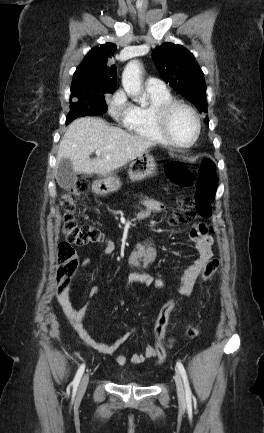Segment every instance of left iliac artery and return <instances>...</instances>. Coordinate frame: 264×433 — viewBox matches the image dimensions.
<instances>
[{
    "label": "left iliac artery",
    "mask_w": 264,
    "mask_h": 433,
    "mask_svg": "<svg viewBox=\"0 0 264 433\" xmlns=\"http://www.w3.org/2000/svg\"><path fill=\"white\" fill-rule=\"evenodd\" d=\"M176 365H177V368H178V370H179V372L183 378V381H184L185 392H186V401H187V403L191 404L192 392H191V389L189 386V382L187 379V374H186L185 368L180 361H178Z\"/></svg>",
    "instance_id": "44dca946"
}]
</instances>
